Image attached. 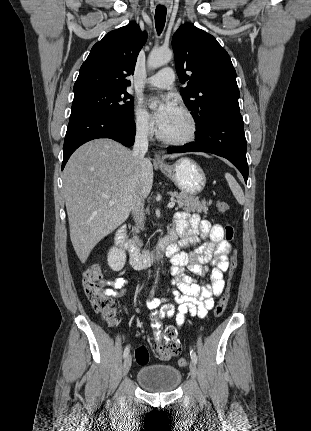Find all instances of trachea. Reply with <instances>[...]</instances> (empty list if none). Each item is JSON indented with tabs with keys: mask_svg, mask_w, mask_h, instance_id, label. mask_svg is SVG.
Here are the masks:
<instances>
[{
	"mask_svg": "<svg viewBox=\"0 0 311 431\" xmlns=\"http://www.w3.org/2000/svg\"><path fill=\"white\" fill-rule=\"evenodd\" d=\"M167 9L166 7L157 6L155 10V27L158 34L163 31L166 21Z\"/></svg>",
	"mask_w": 311,
	"mask_h": 431,
	"instance_id": "trachea-1",
	"label": "trachea"
}]
</instances>
